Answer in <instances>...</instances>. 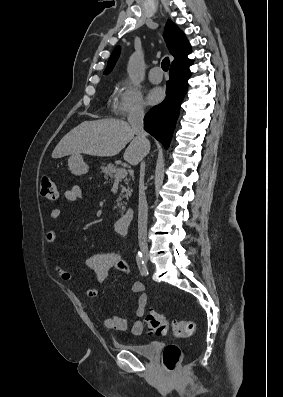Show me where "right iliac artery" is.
<instances>
[{
    "mask_svg": "<svg viewBox=\"0 0 283 397\" xmlns=\"http://www.w3.org/2000/svg\"><path fill=\"white\" fill-rule=\"evenodd\" d=\"M136 260H137V264H138V267L140 270V274L142 276H145L148 272H147V267L143 261V256H142L141 252L137 253Z\"/></svg>",
    "mask_w": 283,
    "mask_h": 397,
    "instance_id": "right-iliac-artery-1",
    "label": "right iliac artery"
}]
</instances>
